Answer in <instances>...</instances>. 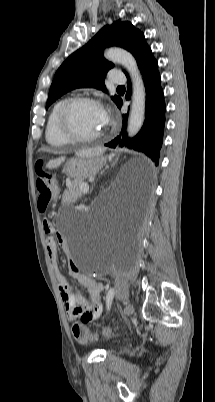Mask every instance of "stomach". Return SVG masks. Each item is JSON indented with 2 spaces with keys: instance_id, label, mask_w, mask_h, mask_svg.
Listing matches in <instances>:
<instances>
[{
  "instance_id": "0dacf381",
  "label": "stomach",
  "mask_w": 215,
  "mask_h": 402,
  "mask_svg": "<svg viewBox=\"0 0 215 402\" xmlns=\"http://www.w3.org/2000/svg\"><path fill=\"white\" fill-rule=\"evenodd\" d=\"M103 162V160L82 155L69 160L65 164L63 172L75 181H83L88 177L94 176L103 166Z\"/></svg>"
}]
</instances>
